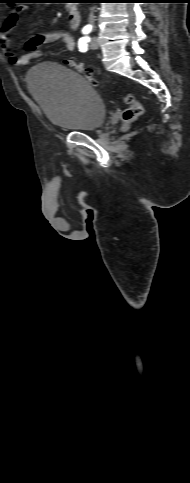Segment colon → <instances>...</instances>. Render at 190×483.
Returning <instances> with one entry per match:
<instances>
[{"instance_id":"obj_1","label":"colon","mask_w":190,"mask_h":483,"mask_svg":"<svg viewBox=\"0 0 190 483\" xmlns=\"http://www.w3.org/2000/svg\"><path fill=\"white\" fill-rule=\"evenodd\" d=\"M64 62L68 67L78 72L85 73L90 83L94 85L97 84V80L95 79L91 71L86 69L83 64L76 62L72 58H67ZM123 100L127 104V108L123 112L122 119L125 124H129L136 120L143 113V106L135 96L130 94L125 95L123 97Z\"/></svg>"}]
</instances>
